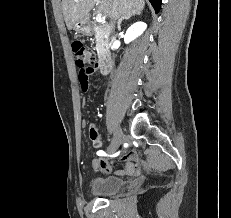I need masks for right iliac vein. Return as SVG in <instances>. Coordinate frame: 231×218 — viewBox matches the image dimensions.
Wrapping results in <instances>:
<instances>
[{
    "label": "right iliac vein",
    "mask_w": 231,
    "mask_h": 218,
    "mask_svg": "<svg viewBox=\"0 0 231 218\" xmlns=\"http://www.w3.org/2000/svg\"><path fill=\"white\" fill-rule=\"evenodd\" d=\"M124 140V134L120 127H117L113 141L108 148L109 153L115 152Z\"/></svg>",
    "instance_id": "right-iliac-vein-1"
}]
</instances>
